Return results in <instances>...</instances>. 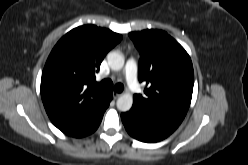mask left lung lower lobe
<instances>
[{"label": "left lung lower lobe", "mask_w": 248, "mask_h": 165, "mask_svg": "<svg viewBox=\"0 0 248 165\" xmlns=\"http://www.w3.org/2000/svg\"><path fill=\"white\" fill-rule=\"evenodd\" d=\"M121 119L133 138L148 143L165 139L180 125L135 106H132L130 111L122 113Z\"/></svg>", "instance_id": "0a47b994"}]
</instances>
